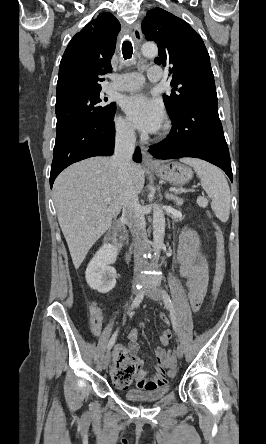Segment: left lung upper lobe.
Wrapping results in <instances>:
<instances>
[{"mask_svg": "<svg viewBox=\"0 0 266 444\" xmlns=\"http://www.w3.org/2000/svg\"><path fill=\"white\" fill-rule=\"evenodd\" d=\"M142 32L158 45L157 64L169 66L171 93L163 95L172 118L189 105L216 101L217 93L208 51L200 35L184 20L161 9L147 12Z\"/></svg>", "mask_w": 266, "mask_h": 444, "instance_id": "left-lung-upper-lobe-1", "label": "left lung upper lobe"}]
</instances>
